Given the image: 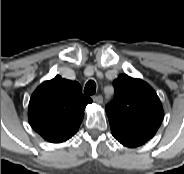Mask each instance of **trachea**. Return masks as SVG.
Instances as JSON below:
<instances>
[{
	"instance_id": "trachea-1",
	"label": "trachea",
	"mask_w": 184,
	"mask_h": 174,
	"mask_svg": "<svg viewBox=\"0 0 184 174\" xmlns=\"http://www.w3.org/2000/svg\"><path fill=\"white\" fill-rule=\"evenodd\" d=\"M84 93L87 95H94L96 93V83L93 80L86 83Z\"/></svg>"
}]
</instances>
